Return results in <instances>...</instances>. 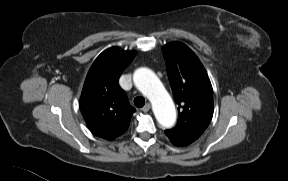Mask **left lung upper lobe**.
Segmentation results:
<instances>
[{"mask_svg":"<svg viewBox=\"0 0 288 181\" xmlns=\"http://www.w3.org/2000/svg\"><path fill=\"white\" fill-rule=\"evenodd\" d=\"M169 81L178 104V123L169 130L201 135L213 116V90L196 54L181 42L163 46Z\"/></svg>","mask_w":288,"mask_h":181,"instance_id":"left-lung-upper-lobe-1","label":"left lung upper lobe"}]
</instances>
